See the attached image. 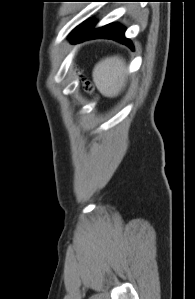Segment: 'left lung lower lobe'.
I'll use <instances>...</instances> for the list:
<instances>
[{
  "mask_svg": "<svg viewBox=\"0 0 195 299\" xmlns=\"http://www.w3.org/2000/svg\"><path fill=\"white\" fill-rule=\"evenodd\" d=\"M94 26V22L87 21L76 27L70 35L72 43L89 39L106 38L113 39L133 49L131 41L124 37L125 28L120 24L112 23L95 30L93 29Z\"/></svg>",
  "mask_w": 195,
  "mask_h": 299,
  "instance_id": "0a47b994",
  "label": "left lung lower lobe"
}]
</instances>
